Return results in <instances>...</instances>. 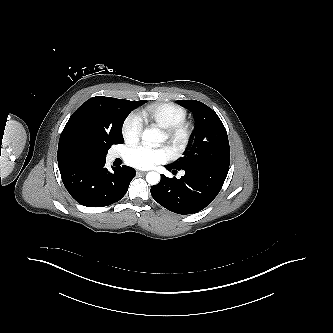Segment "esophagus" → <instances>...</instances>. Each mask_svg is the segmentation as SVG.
<instances>
[{
    "mask_svg": "<svg viewBox=\"0 0 333 333\" xmlns=\"http://www.w3.org/2000/svg\"><path fill=\"white\" fill-rule=\"evenodd\" d=\"M144 174H146V172H144V171H136V175L137 176H141V175H144Z\"/></svg>",
    "mask_w": 333,
    "mask_h": 333,
    "instance_id": "esophagus-1",
    "label": "esophagus"
}]
</instances>
